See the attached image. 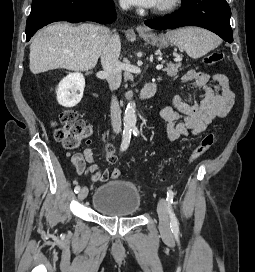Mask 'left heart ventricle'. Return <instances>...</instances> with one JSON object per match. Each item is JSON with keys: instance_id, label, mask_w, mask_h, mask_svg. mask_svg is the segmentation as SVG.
Wrapping results in <instances>:
<instances>
[{"instance_id": "obj_1", "label": "left heart ventricle", "mask_w": 255, "mask_h": 272, "mask_svg": "<svg viewBox=\"0 0 255 272\" xmlns=\"http://www.w3.org/2000/svg\"><path fill=\"white\" fill-rule=\"evenodd\" d=\"M165 1H166V0H158L157 3H156V5H155V7L161 5V4H162L163 2H165Z\"/></svg>"}]
</instances>
